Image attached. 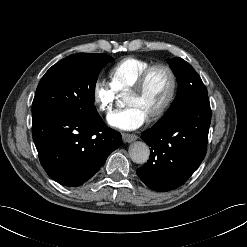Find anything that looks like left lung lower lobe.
Here are the masks:
<instances>
[{
    "label": "left lung lower lobe",
    "instance_id": "obj_1",
    "mask_svg": "<svg viewBox=\"0 0 247 247\" xmlns=\"http://www.w3.org/2000/svg\"><path fill=\"white\" fill-rule=\"evenodd\" d=\"M210 122L208 95L196 97L177 112L166 113L142 133L151 154L137 169L140 179L159 192L183 185L206 155Z\"/></svg>",
    "mask_w": 247,
    "mask_h": 247
}]
</instances>
